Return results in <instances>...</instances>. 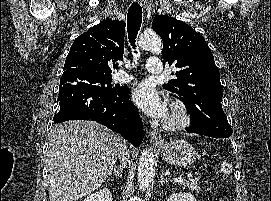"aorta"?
Returning <instances> with one entry per match:
<instances>
[{
	"instance_id": "aorta-1",
	"label": "aorta",
	"mask_w": 271,
	"mask_h": 201,
	"mask_svg": "<svg viewBox=\"0 0 271 201\" xmlns=\"http://www.w3.org/2000/svg\"><path fill=\"white\" fill-rule=\"evenodd\" d=\"M139 46L148 51H160L162 42L154 32H144L139 38ZM154 171V155L151 148H146L141 154L138 165V186L146 190L151 182Z\"/></svg>"
}]
</instances>
